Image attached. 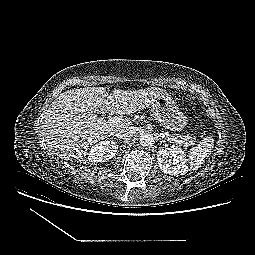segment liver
<instances>
[{"label":"liver","mask_w":255,"mask_h":255,"mask_svg":"<svg viewBox=\"0 0 255 255\" xmlns=\"http://www.w3.org/2000/svg\"><path fill=\"white\" fill-rule=\"evenodd\" d=\"M165 92L151 87L139 90L116 89L108 93L104 87L68 90L55 99L43 121L45 141L64 158L82 159L87 148L131 124H112L97 114H131L149 107Z\"/></svg>","instance_id":"1"}]
</instances>
